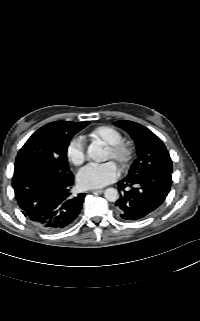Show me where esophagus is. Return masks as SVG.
Listing matches in <instances>:
<instances>
[{"label":"esophagus","instance_id":"obj_1","mask_svg":"<svg viewBox=\"0 0 200 321\" xmlns=\"http://www.w3.org/2000/svg\"><path fill=\"white\" fill-rule=\"evenodd\" d=\"M91 192H93V193H103L104 189H94Z\"/></svg>","mask_w":200,"mask_h":321}]
</instances>
